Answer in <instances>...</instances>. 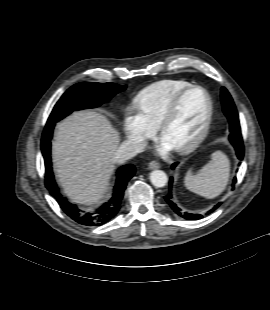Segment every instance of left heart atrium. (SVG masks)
<instances>
[{
	"label": "left heart atrium",
	"mask_w": 270,
	"mask_h": 310,
	"mask_svg": "<svg viewBox=\"0 0 270 310\" xmlns=\"http://www.w3.org/2000/svg\"><path fill=\"white\" fill-rule=\"evenodd\" d=\"M171 149H172V147L170 145H168L167 143L163 142L161 147H160V152L161 153H166V152H168Z\"/></svg>",
	"instance_id": "39dd6f15"
}]
</instances>
